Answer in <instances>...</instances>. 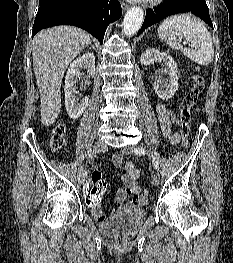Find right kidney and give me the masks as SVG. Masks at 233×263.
Segmentation results:
<instances>
[{"mask_svg":"<svg viewBox=\"0 0 233 263\" xmlns=\"http://www.w3.org/2000/svg\"><path fill=\"white\" fill-rule=\"evenodd\" d=\"M85 68L89 77L95 75V57L87 52L75 59L69 66L65 77V108L71 119H78L88 106V97L77 94L76 83L80 75V69Z\"/></svg>","mask_w":233,"mask_h":263,"instance_id":"obj_1","label":"right kidney"}]
</instances>
